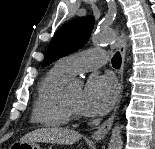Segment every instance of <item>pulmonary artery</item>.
Masks as SVG:
<instances>
[{"instance_id": "1", "label": "pulmonary artery", "mask_w": 155, "mask_h": 149, "mask_svg": "<svg viewBox=\"0 0 155 149\" xmlns=\"http://www.w3.org/2000/svg\"><path fill=\"white\" fill-rule=\"evenodd\" d=\"M108 55L105 50L87 49L63 57L58 66L68 76L72 77L79 72L94 70L107 63Z\"/></svg>"}]
</instances>
